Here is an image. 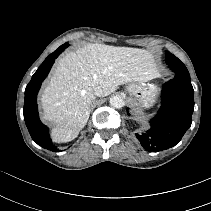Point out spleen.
<instances>
[{
    "label": "spleen",
    "mask_w": 211,
    "mask_h": 211,
    "mask_svg": "<svg viewBox=\"0 0 211 211\" xmlns=\"http://www.w3.org/2000/svg\"><path fill=\"white\" fill-rule=\"evenodd\" d=\"M155 114V112L154 113H152V114H149L148 116H146V117H151V116H153Z\"/></svg>",
    "instance_id": "1"
}]
</instances>
